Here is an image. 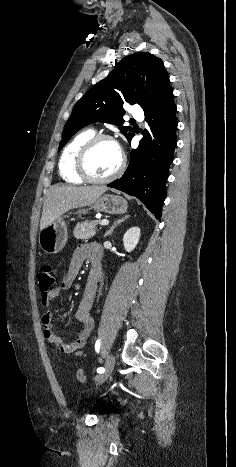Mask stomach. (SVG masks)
Wrapping results in <instances>:
<instances>
[{"label": "stomach", "mask_w": 236, "mask_h": 467, "mask_svg": "<svg viewBox=\"0 0 236 467\" xmlns=\"http://www.w3.org/2000/svg\"><path fill=\"white\" fill-rule=\"evenodd\" d=\"M88 209L78 210L76 213L86 214L88 210L94 209L97 212L108 214H123L127 211V202L120 196L105 194L99 197ZM68 239L67 226L63 218L46 226L40 232L39 244L41 249L47 254H55L61 251Z\"/></svg>", "instance_id": "0dacf381"}]
</instances>
